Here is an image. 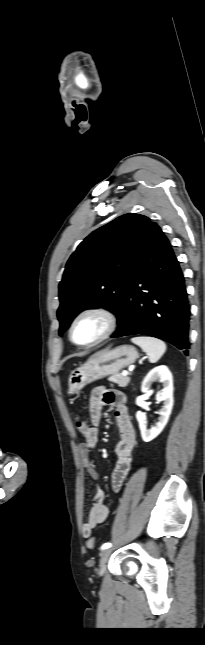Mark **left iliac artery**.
<instances>
[{
	"label": "left iliac artery",
	"mask_w": 205,
	"mask_h": 645,
	"mask_svg": "<svg viewBox=\"0 0 205 645\" xmlns=\"http://www.w3.org/2000/svg\"><path fill=\"white\" fill-rule=\"evenodd\" d=\"M111 546H112V544H111V543H109V542H108V543H104V544L101 546V549H102V550H105V549L110 548Z\"/></svg>",
	"instance_id": "1"
}]
</instances>
